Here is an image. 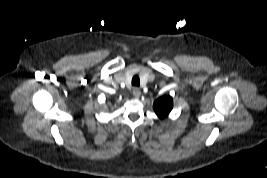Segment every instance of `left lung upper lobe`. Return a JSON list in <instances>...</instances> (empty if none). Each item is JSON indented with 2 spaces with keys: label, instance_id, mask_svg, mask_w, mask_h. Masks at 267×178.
Returning <instances> with one entry per match:
<instances>
[{
  "label": "left lung upper lobe",
  "instance_id": "left-lung-upper-lobe-1",
  "mask_svg": "<svg viewBox=\"0 0 267 178\" xmlns=\"http://www.w3.org/2000/svg\"><path fill=\"white\" fill-rule=\"evenodd\" d=\"M172 107H173V100L170 96H163L157 99L153 104L155 113L161 119H164L165 117L168 116V114L172 110Z\"/></svg>",
  "mask_w": 267,
  "mask_h": 178
}]
</instances>
